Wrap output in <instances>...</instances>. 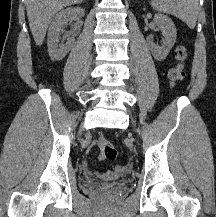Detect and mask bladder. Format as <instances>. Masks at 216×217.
I'll list each match as a JSON object with an SVG mask.
<instances>
[{
	"label": "bladder",
	"mask_w": 216,
	"mask_h": 217,
	"mask_svg": "<svg viewBox=\"0 0 216 217\" xmlns=\"http://www.w3.org/2000/svg\"><path fill=\"white\" fill-rule=\"evenodd\" d=\"M121 186H122V184H121V183H118V184L109 186V188H118V187H121Z\"/></svg>",
	"instance_id": "bladder-1"
}]
</instances>
